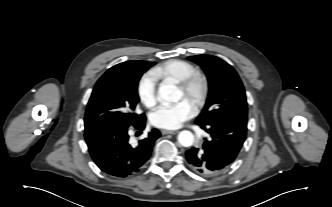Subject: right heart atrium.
<instances>
[{"instance_id":"d8ad5b80","label":"right heart atrium","mask_w":332,"mask_h":207,"mask_svg":"<svg viewBox=\"0 0 332 207\" xmlns=\"http://www.w3.org/2000/svg\"><path fill=\"white\" fill-rule=\"evenodd\" d=\"M137 94L146 107H153L157 102V79L151 73L144 74L137 85Z\"/></svg>"}]
</instances>
